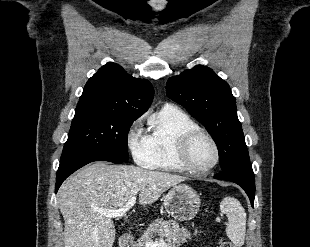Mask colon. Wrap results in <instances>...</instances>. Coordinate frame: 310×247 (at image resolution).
<instances>
[{
	"label": "colon",
	"instance_id": "5ec220e1",
	"mask_svg": "<svg viewBox=\"0 0 310 247\" xmlns=\"http://www.w3.org/2000/svg\"><path fill=\"white\" fill-rule=\"evenodd\" d=\"M219 247H236V246L231 241L223 239L221 240Z\"/></svg>",
	"mask_w": 310,
	"mask_h": 247
}]
</instances>
